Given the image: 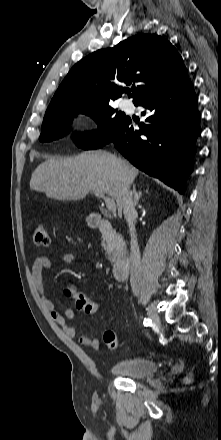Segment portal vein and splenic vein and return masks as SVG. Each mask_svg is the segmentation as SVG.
<instances>
[{
  "mask_svg": "<svg viewBox=\"0 0 221 440\" xmlns=\"http://www.w3.org/2000/svg\"><path fill=\"white\" fill-rule=\"evenodd\" d=\"M95 195H96L97 197H100V198H103V199H104L105 204H106V207H107V209H108L110 212H112V213H115V212H116V205H115L114 199L105 196V194H104L103 192H100V191H96V192H95Z\"/></svg>",
  "mask_w": 221,
  "mask_h": 440,
  "instance_id": "1",
  "label": "portal vein and splenic vein"
}]
</instances>
